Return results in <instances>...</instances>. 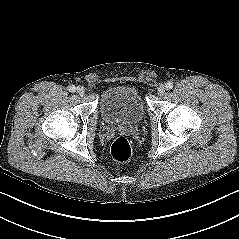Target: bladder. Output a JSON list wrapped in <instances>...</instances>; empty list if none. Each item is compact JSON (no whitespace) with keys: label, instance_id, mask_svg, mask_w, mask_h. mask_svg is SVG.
<instances>
[{"label":"bladder","instance_id":"bladder-1","mask_svg":"<svg viewBox=\"0 0 239 239\" xmlns=\"http://www.w3.org/2000/svg\"><path fill=\"white\" fill-rule=\"evenodd\" d=\"M99 110L109 125H133L144 116L145 107L139 91L131 86L116 85L100 96Z\"/></svg>","mask_w":239,"mask_h":239}]
</instances>
